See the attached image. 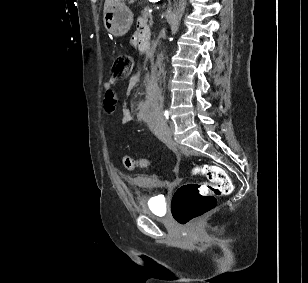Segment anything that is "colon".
Wrapping results in <instances>:
<instances>
[{
	"instance_id": "colon-1",
	"label": "colon",
	"mask_w": 308,
	"mask_h": 283,
	"mask_svg": "<svg viewBox=\"0 0 308 283\" xmlns=\"http://www.w3.org/2000/svg\"><path fill=\"white\" fill-rule=\"evenodd\" d=\"M133 68V60L127 54L116 56L111 68V81L128 77ZM123 164L128 170L147 165L144 159H134L126 155ZM207 178L206 182L187 183L180 186L171 201L172 216L182 226H190L209 213L216 205V197L227 195L232 190L227 172L217 165H203L195 169Z\"/></svg>"
}]
</instances>
